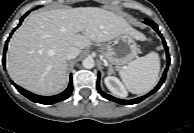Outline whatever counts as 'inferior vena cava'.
Instances as JSON below:
<instances>
[{
	"instance_id": "1",
	"label": "inferior vena cava",
	"mask_w": 194,
	"mask_h": 133,
	"mask_svg": "<svg viewBox=\"0 0 194 133\" xmlns=\"http://www.w3.org/2000/svg\"><path fill=\"white\" fill-rule=\"evenodd\" d=\"M80 53V50L76 47H69L66 51H65V58L66 60H70V59H74L76 58Z\"/></svg>"
}]
</instances>
